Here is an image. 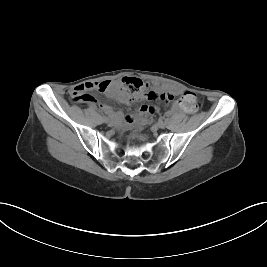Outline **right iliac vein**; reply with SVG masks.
Returning a JSON list of instances; mask_svg holds the SVG:
<instances>
[{
  "label": "right iliac vein",
  "instance_id": "63e3f726",
  "mask_svg": "<svg viewBox=\"0 0 267 267\" xmlns=\"http://www.w3.org/2000/svg\"><path fill=\"white\" fill-rule=\"evenodd\" d=\"M103 121L106 122V123H110L111 122V120L108 119L107 117L103 118Z\"/></svg>",
  "mask_w": 267,
  "mask_h": 267
}]
</instances>
